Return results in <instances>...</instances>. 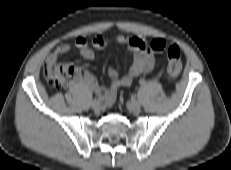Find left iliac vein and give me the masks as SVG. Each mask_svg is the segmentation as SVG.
<instances>
[{
    "label": "left iliac vein",
    "instance_id": "left-iliac-vein-1",
    "mask_svg": "<svg viewBox=\"0 0 231 170\" xmlns=\"http://www.w3.org/2000/svg\"><path fill=\"white\" fill-rule=\"evenodd\" d=\"M127 107L130 111L137 113L141 110V103L138 101L128 102Z\"/></svg>",
    "mask_w": 231,
    "mask_h": 170
}]
</instances>
